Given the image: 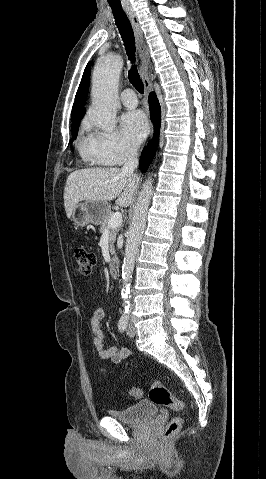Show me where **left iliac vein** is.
I'll return each instance as SVG.
<instances>
[{
	"label": "left iliac vein",
	"mask_w": 266,
	"mask_h": 479,
	"mask_svg": "<svg viewBox=\"0 0 266 479\" xmlns=\"http://www.w3.org/2000/svg\"><path fill=\"white\" fill-rule=\"evenodd\" d=\"M127 335H128L129 337H134V336L136 335V329H135V327L133 326L132 323H130V324L128 325Z\"/></svg>",
	"instance_id": "obj_1"
}]
</instances>
